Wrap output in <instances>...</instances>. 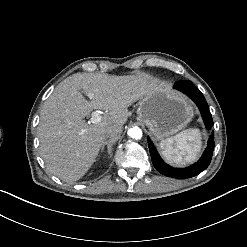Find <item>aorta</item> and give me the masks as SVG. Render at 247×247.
Segmentation results:
<instances>
[{
	"mask_svg": "<svg viewBox=\"0 0 247 247\" xmlns=\"http://www.w3.org/2000/svg\"><path fill=\"white\" fill-rule=\"evenodd\" d=\"M129 137L133 139H141L142 137V130L139 127H133L128 130Z\"/></svg>",
	"mask_w": 247,
	"mask_h": 247,
	"instance_id": "obj_1",
	"label": "aorta"
}]
</instances>
